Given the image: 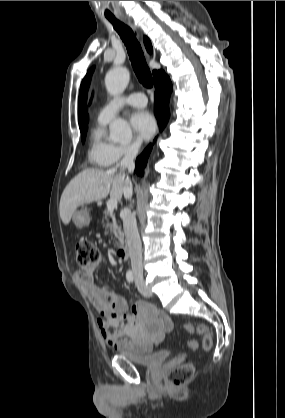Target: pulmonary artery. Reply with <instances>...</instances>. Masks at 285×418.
Instances as JSON below:
<instances>
[{"label":"pulmonary artery","instance_id":"e3ab8cb5","mask_svg":"<svg viewBox=\"0 0 285 418\" xmlns=\"http://www.w3.org/2000/svg\"><path fill=\"white\" fill-rule=\"evenodd\" d=\"M147 104V98L142 93H133L128 96L114 98L105 104L98 112V119L111 120L123 107L130 105L142 107Z\"/></svg>","mask_w":285,"mask_h":418}]
</instances>
